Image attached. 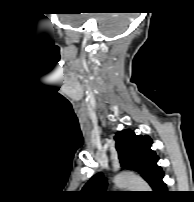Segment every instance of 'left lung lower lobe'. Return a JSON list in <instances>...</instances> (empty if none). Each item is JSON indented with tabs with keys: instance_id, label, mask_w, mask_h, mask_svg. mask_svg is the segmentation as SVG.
I'll use <instances>...</instances> for the list:
<instances>
[{
	"instance_id": "1",
	"label": "left lung lower lobe",
	"mask_w": 194,
	"mask_h": 202,
	"mask_svg": "<svg viewBox=\"0 0 194 202\" xmlns=\"http://www.w3.org/2000/svg\"><path fill=\"white\" fill-rule=\"evenodd\" d=\"M163 177V171H161L151 185L153 193L156 195H163L167 192L166 184L162 181Z\"/></svg>"
}]
</instances>
